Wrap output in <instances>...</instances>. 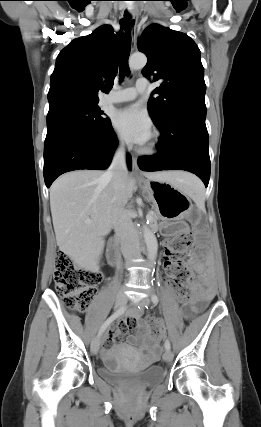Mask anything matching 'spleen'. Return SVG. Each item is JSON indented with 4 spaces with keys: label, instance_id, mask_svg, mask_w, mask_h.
Here are the masks:
<instances>
[{
    "label": "spleen",
    "instance_id": "obj_1",
    "mask_svg": "<svg viewBox=\"0 0 261 427\" xmlns=\"http://www.w3.org/2000/svg\"><path fill=\"white\" fill-rule=\"evenodd\" d=\"M190 176L191 177L186 180L185 191L197 204L203 205L205 194L204 187L197 178L192 175Z\"/></svg>",
    "mask_w": 261,
    "mask_h": 427
}]
</instances>
